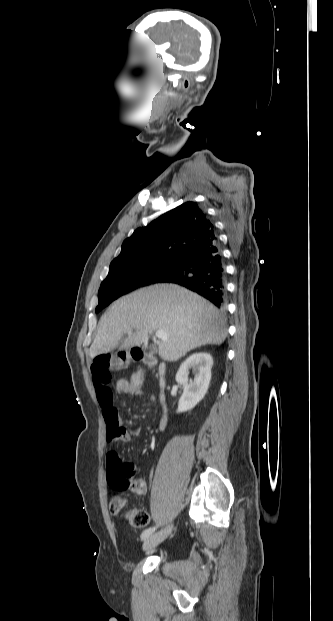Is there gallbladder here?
Wrapping results in <instances>:
<instances>
[{
    "label": "gallbladder",
    "instance_id": "gallbladder-1",
    "mask_svg": "<svg viewBox=\"0 0 333 621\" xmlns=\"http://www.w3.org/2000/svg\"><path fill=\"white\" fill-rule=\"evenodd\" d=\"M149 350H150L151 352H153V351H154V347H153V346H150V347H149Z\"/></svg>",
    "mask_w": 333,
    "mask_h": 621
}]
</instances>
